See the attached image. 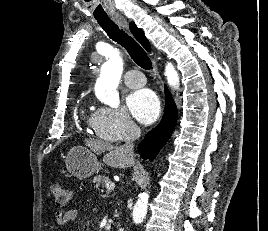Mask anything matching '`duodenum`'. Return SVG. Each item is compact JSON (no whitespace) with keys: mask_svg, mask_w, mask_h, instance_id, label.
I'll return each mask as SVG.
<instances>
[{"mask_svg":"<svg viewBox=\"0 0 268 231\" xmlns=\"http://www.w3.org/2000/svg\"><path fill=\"white\" fill-rule=\"evenodd\" d=\"M117 231H126V230H125V228L120 227V228L117 229Z\"/></svg>","mask_w":268,"mask_h":231,"instance_id":"duodenum-1","label":"duodenum"}]
</instances>
